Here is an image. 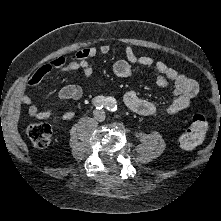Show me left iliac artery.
Here are the masks:
<instances>
[{
  "instance_id": "obj_1",
  "label": "left iliac artery",
  "mask_w": 221,
  "mask_h": 221,
  "mask_svg": "<svg viewBox=\"0 0 221 221\" xmlns=\"http://www.w3.org/2000/svg\"><path fill=\"white\" fill-rule=\"evenodd\" d=\"M114 99L113 98H108V107L107 109L110 111H115L116 110V105L114 104Z\"/></svg>"
}]
</instances>
